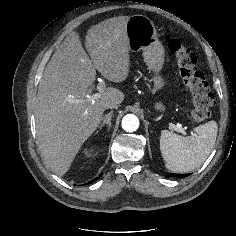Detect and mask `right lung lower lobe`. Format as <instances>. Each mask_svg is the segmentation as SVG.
I'll list each match as a JSON object with an SVG mask.
<instances>
[{
    "label": "right lung lower lobe",
    "instance_id": "1",
    "mask_svg": "<svg viewBox=\"0 0 236 236\" xmlns=\"http://www.w3.org/2000/svg\"><path fill=\"white\" fill-rule=\"evenodd\" d=\"M98 178L94 179V180H97ZM94 180L90 181V183H92Z\"/></svg>",
    "mask_w": 236,
    "mask_h": 236
}]
</instances>
